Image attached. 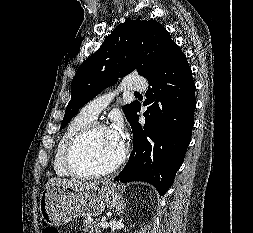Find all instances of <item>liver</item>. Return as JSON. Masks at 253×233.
I'll return each mask as SVG.
<instances>
[{"mask_svg":"<svg viewBox=\"0 0 253 233\" xmlns=\"http://www.w3.org/2000/svg\"><path fill=\"white\" fill-rule=\"evenodd\" d=\"M98 184L99 182H81V181L68 180L64 178H51L47 181L46 187L51 185H63L75 191H83L89 188H93Z\"/></svg>","mask_w":253,"mask_h":233,"instance_id":"6515ba94","label":"liver"}]
</instances>
